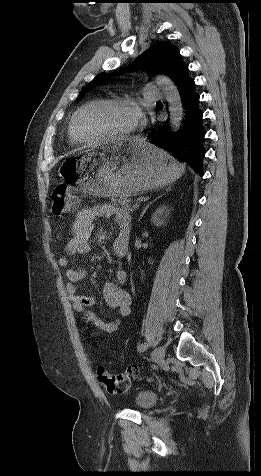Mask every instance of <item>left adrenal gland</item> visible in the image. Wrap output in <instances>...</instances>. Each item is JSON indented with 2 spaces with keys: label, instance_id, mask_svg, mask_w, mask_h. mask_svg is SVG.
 Segmentation results:
<instances>
[{
  "label": "left adrenal gland",
  "instance_id": "left-adrenal-gland-1",
  "mask_svg": "<svg viewBox=\"0 0 261 476\" xmlns=\"http://www.w3.org/2000/svg\"><path fill=\"white\" fill-rule=\"evenodd\" d=\"M170 190H171V188H168V189H166V192H169ZM166 192H165V193H166ZM165 193L161 194V195L158 196L155 200L151 201L150 203H148V204L144 207L143 211H142L141 214H140L139 220H140V219L143 217V215L146 213L148 207H149L153 202H155L157 199H159L160 197H162Z\"/></svg>",
  "mask_w": 261,
  "mask_h": 476
}]
</instances>
